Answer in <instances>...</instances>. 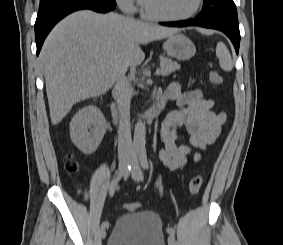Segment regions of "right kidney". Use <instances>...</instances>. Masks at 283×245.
Masks as SVG:
<instances>
[{
	"mask_svg": "<svg viewBox=\"0 0 283 245\" xmlns=\"http://www.w3.org/2000/svg\"><path fill=\"white\" fill-rule=\"evenodd\" d=\"M106 129V119L101 111L89 105L79 110L72 118L70 138L84 154L89 155L100 145Z\"/></svg>",
	"mask_w": 283,
	"mask_h": 245,
	"instance_id": "obj_1",
	"label": "right kidney"
}]
</instances>
